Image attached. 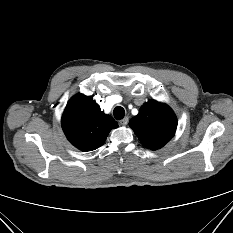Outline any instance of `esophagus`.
I'll list each match as a JSON object with an SVG mask.
<instances>
[{
  "label": "esophagus",
  "mask_w": 233,
  "mask_h": 233,
  "mask_svg": "<svg viewBox=\"0 0 233 233\" xmlns=\"http://www.w3.org/2000/svg\"><path fill=\"white\" fill-rule=\"evenodd\" d=\"M129 122V118L128 117H124L122 120L119 121V123L121 125H126Z\"/></svg>",
  "instance_id": "1"
}]
</instances>
